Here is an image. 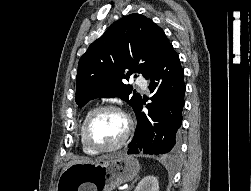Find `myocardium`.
I'll return each instance as SVG.
<instances>
[{
	"mask_svg": "<svg viewBox=\"0 0 251 191\" xmlns=\"http://www.w3.org/2000/svg\"><path fill=\"white\" fill-rule=\"evenodd\" d=\"M113 111L115 113H117L124 121V132H123V136L121 138V140L109 147H97L95 146L89 138V127L90 124L92 122V120L94 119V117L103 111ZM131 128H132V123L130 118L118 107L111 105V104H104L101 106H98L94 109H92L83 119L82 124H81V128H80V137H81V141L83 146L89 150L90 152L94 153V154H103V153H108V152H112L115 151L119 148H121L126 141L129 138L130 132H131Z\"/></svg>",
	"mask_w": 251,
	"mask_h": 191,
	"instance_id": "myocardium-1",
	"label": "myocardium"
}]
</instances>
